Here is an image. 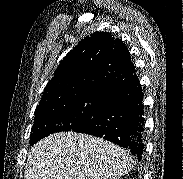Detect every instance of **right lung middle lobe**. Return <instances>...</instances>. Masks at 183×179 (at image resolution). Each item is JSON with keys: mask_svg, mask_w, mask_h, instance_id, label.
Segmentation results:
<instances>
[{"mask_svg": "<svg viewBox=\"0 0 183 179\" xmlns=\"http://www.w3.org/2000/svg\"><path fill=\"white\" fill-rule=\"evenodd\" d=\"M102 94H88L38 106L30 136L33 145L40 139L57 132L77 131L90 120L101 101Z\"/></svg>", "mask_w": 183, "mask_h": 179, "instance_id": "right-lung-middle-lobe-1", "label": "right lung middle lobe"}]
</instances>
